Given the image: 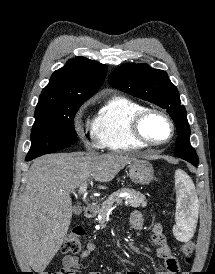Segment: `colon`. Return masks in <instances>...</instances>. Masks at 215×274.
I'll return each mask as SVG.
<instances>
[{
	"instance_id": "5ec220e1",
	"label": "colon",
	"mask_w": 215,
	"mask_h": 274,
	"mask_svg": "<svg viewBox=\"0 0 215 274\" xmlns=\"http://www.w3.org/2000/svg\"><path fill=\"white\" fill-rule=\"evenodd\" d=\"M83 234H84V230L81 227H76V228L72 229L68 233V235L63 243V246H62L63 252H71V253L79 252L82 247L81 237L83 236ZM193 250H194V244L192 242H187V243L183 244L182 251H183L184 255L186 256L187 262H190L191 254H192ZM45 274H66V272H64V270L61 269L59 271L47 272Z\"/></svg>"
}]
</instances>
